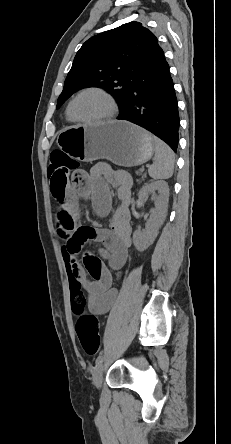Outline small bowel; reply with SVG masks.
I'll return each mask as SVG.
<instances>
[{
    "mask_svg": "<svg viewBox=\"0 0 231 444\" xmlns=\"http://www.w3.org/2000/svg\"><path fill=\"white\" fill-rule=\"evenodd\" d=\"M50 181L51 190L59 203L56 227L64 240L62 254L70 287L78 283L88 297L89 311L94 315H103L114 304L117 295L113 286L114 277L121 276L131 246V178L107 165L98 164L90 173H74L70 181L58 187ZM109 185L117 189L120 200L110 227L80 234L77 227L78 199L89 198L95 212L105 216L112 202ZM92 243L102 245L104 261L90 252L84 253L80 259L81 250Z\"/></svg>",
    "mask_w": 231,
    "mask_h": 444,
    "instance_id": "small-bowel-1",
    "label": "small bowel"
}]
</instances>
